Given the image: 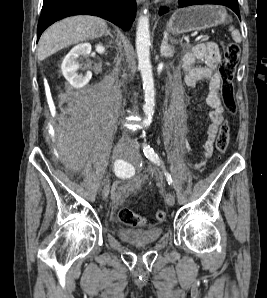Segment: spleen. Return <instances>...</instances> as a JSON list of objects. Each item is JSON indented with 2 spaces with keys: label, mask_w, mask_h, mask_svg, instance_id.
Returning <instances> with one entry per match:
<instances>
[{
  "label": "spleen",
  "mask_w": 267,
  "mask_h": 298,
  "mask_svg": "<svg viewBox=\"0 0 267 298\" xmlns=\"http://www.w3.org/2000/svg\"><path fill=\"white\" fill-rule=\"evenodd\" d=\"M231 32V36L236 43H240L242 41L241 35L238 30L234 29L233 26L229 28Z\"/></svg>",
  "instance_id": "3e777b00"
}]
</instances>
